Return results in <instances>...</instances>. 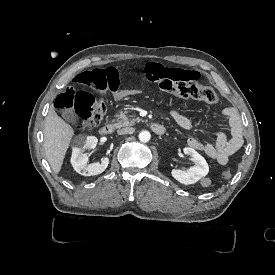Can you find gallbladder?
Instances as JSON below:
<instances>
[{"label": "gallbladder", "instance_id": "1", "mask_svg": "<svg viewBox=\"0 0 275 275\" xmlns=\"http://www.w3.org/2000/svg\"><path fill=\"white\" fill-rule=\"evenodd\" d=\"M60 112L62 117L70 123H76L79 120V117L72 108H64L61 109Z\"/></svg>", "mask_w": 275, "mask_h": 275}]
</instances>
